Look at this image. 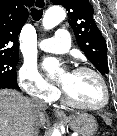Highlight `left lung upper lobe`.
Returning <instances> with one entry per match:
<instances>
[{
  "label": "left lung upper lobe",
  "instance_id": "left-lung-upper-lobe-1",
  "mask_svg": "<svg viewBox=\"0 0 117 136\" xmlns=\"http://www.w3.org/2000/svg\"><path fill=\"white\" fill-rule=\"evenodd\" d=\"M51 2L66 8L79 47L102 75L108 74L107 45L93 19L94 9L90 2L88 0H51Z\"/></svg>",
  "mask_w": 117,
  "mask_h": 136
}]
</instances>
